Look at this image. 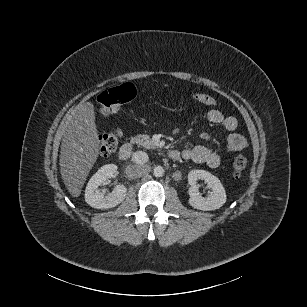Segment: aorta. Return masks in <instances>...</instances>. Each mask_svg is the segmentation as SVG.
I'll use <instances>...</instances> for the list:
<instances>
[{
    "instance_id": "obj_1",
    "label": "aorta",
    "mask_w": 307,
    "mask_h": 307,
    "mask_svg": "<svg viewBox=\"0 0 307 307\" xmlns=\"http://www.w3.org/2000/svg\"><path fill=\"white\" fill-rule=\"evenodd\" d=\"M164 168L162 166H156L154 168V176L162 177L164 175Z\"/></svg>"
}]
</instances>
